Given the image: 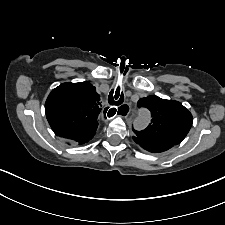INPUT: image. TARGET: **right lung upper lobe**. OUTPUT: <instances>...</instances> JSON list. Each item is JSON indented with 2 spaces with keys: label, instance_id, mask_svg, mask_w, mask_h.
Returning <instances> with one entry per match:
<instances>
[{
  "label": "right lung upper lobe",
  "instance_id": "1",
  "mask_svg": "<svg viewBox=\"0 0 225 225\" xmlns=\"http://www.w3.org/2000/svg\"><path fill=\"white\" fill-rule=\"evenodd\" d=\"M46 117L54 133L72 141H88L96 133L100 97L89 82L63 83L49 94Z\"/></svg>",
  "mask_w": 225,
  "mask_h": 225
}]
</instances>
